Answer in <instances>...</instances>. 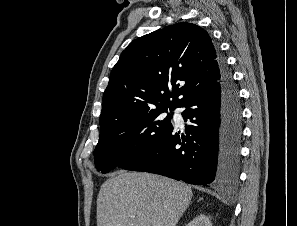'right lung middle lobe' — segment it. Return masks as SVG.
<instances>
[{
    "label": "right lung middle lobe",
    "mask_w": 297,
    "mask_h": 226,
    "mask_svg": "<svg viewBox=\"0 0 297 226\" xmlns=\"http://www.w3.org/2000/svg\"><path fill=\"white\" fill-rule=\"evenodd\" d=\"M166 111H149L101 129L94 150L96 168L107 173L148 152L173 129L171 115H162Z\"/></svg>",
    "instance_id": "obj_1"
}]
</instances>
